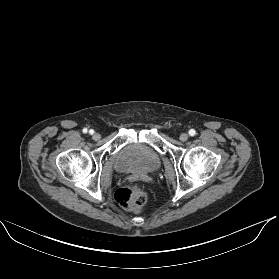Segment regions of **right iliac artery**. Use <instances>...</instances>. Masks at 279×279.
Returning a JSON list of instances; mask_svg holds the SVG:
<instances>
[{
    "label": "right iliac artery",
    "instance_id": "right-iliac-artery-1",
    "mask_svg": "<svg viewBox=\"0 0 279 279\" xmlns=\"http://www.w3.org/2000/svg\"><path fill=\"white\" fill-rule=\"evenodd\" d=\"M87 132H88L87 128H84V129H83V133H87ZM89 133H90V134H93L94 131H93V130H90Z\"/></svg>",
    "mask_w": 279,
    "mask_h": 279
}]
</instances>
